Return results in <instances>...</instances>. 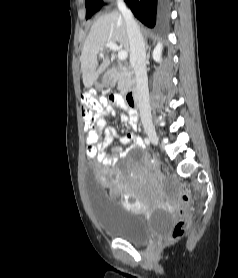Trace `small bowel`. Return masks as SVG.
Masks as SVG:
<instances>
[{
  "label": "small bowel",
  "mask_w": 238,
  "mask_h": 278,
  "mask_svg": "<svg viewBox=\"0 0 238 278\" xmlns=\"http://www.w3.org/2000/svg\"><path fill=\"white\" fill-rule=\"evenodd\" d=\"M111 105H108L105 110L97 117L96 125L103 128V139L102 146L100 149V156H97V160L100 164L104 166L113 165L117 162L119 157H125L128 155L130 149L138 148L142 149L144 147L143 141L135 133L130 132L123 136H119L116 129L113 126H108L106 124V118L109 116H114L118 114V110H123L125 112L122 115L123 119L128 120L130 126L134 131H136L138 126V116L125 101V99L118 94L111 97ZM94 126V128H95ZM115 137L119 138V143L121 145H131L130 148L122 150L118 146H113V140ZM109 149V151H106Z\"/></svg>",
  "instance_id": "1"
}]
</instances>
